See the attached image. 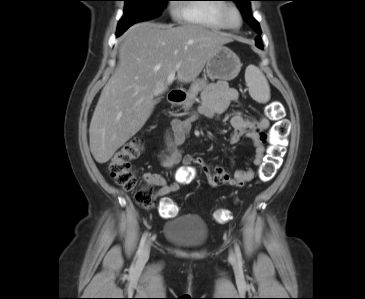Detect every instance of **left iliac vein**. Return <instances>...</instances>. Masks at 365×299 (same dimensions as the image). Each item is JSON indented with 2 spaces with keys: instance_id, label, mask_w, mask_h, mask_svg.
I'll use <instances>...</instances> for the list:
<instances>
[{
  "instance_id": "left-iliac-vein-1",
  "label": "left iliac vein",
  "mask_w": 365,
  "mask_h": 299,
  "mask_svg": "<svg viewBox=\"0 0 365 299\" xmlns=\"http://www.w3.org/2000/svg\"><path fill=\"white\" fill-rule=\"evenodd\" d=\"M235 259H236V258H235V254H234L233 252H231V253H230V260L234 262V261H235Z\"/></svg>"
}]
</instances>
